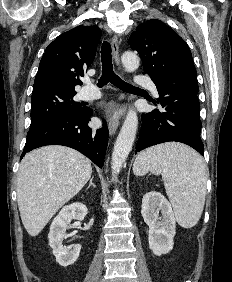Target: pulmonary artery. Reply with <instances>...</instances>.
I'll return each instance as SVG.
<instances>
[{"label": "pulmonary artery", "instance_id": "e3ab8cb5", "mask_svg": "<svg viewBox=\"0 0 232 282\" xmlns=\"http://www.w3.org/2000/svg\"><path fill=\"white\" fill-rule=\"evenodd\" d=\"M135 83L138 85L146 86L154 95H158L156 85L148 77L137 76L135 78ZM80 96L84 100H96L101 97V94L94 85L87 83V85L83 88Z\"/></svg>", "mask_w": 232, "mask_h": 282}]
</instances>
